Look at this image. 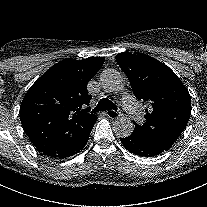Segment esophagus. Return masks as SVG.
Listing matches in <instances>:
<instances>
[{
    "mask_svg": "<svg viewBox=\"0 0 207 207\" xmlns=\"http://www.w3.org/2000/svg\"><path fill=\"white\" fill-rule=\"evenodd\" d=\"M106 115L110 119H118L121 116V112L120 111H116V110H108V111H106Z\"/></svg>",
    "mask_w": 207,
    "mask_h": 207,
    "instance_id": "obj_1",
    "label": "esophagus"
}]
</instances>
